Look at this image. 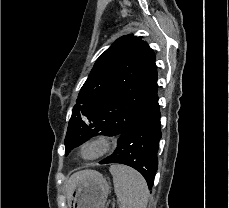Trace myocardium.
Segmentation results:
<instances>
[{"mask_svg":"<svg viewBox=\"0 0 229 208\" xmlns=\"http://www.w3.org/2000/svg\"><path fill=\"white\" fill-rule=\"evenodd\" d=\"M107 138L110 139L111 146ZM119 146L120 138L117 133L107 130H100L79 143L77 147V155L84 162H96L113 154L119 148ZM84 147H109V149L97 156L88 158L82 154Z\"/></svg>","mask_w":229,"mask_h":208,"instance_id":"myocardium-1","label":"myocardium"}]
</instances>
